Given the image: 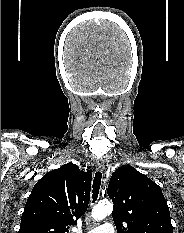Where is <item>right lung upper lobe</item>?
<instances>
[{
	"instance_id": "obj_1",
	"label": "right lung upper lobe",
	"mask_w": 184,
	"mask_h": 233,
	"mask_svg": "<svg viewBox=\"0 0 184 233\" xmlns=\"http://www.w3.org/2000/svg\"><path fill=\"white\" fill-rule=\"evenodd\" d=\"M91 177L73 163L45 174L27 199L18 233H67L88 207Z\"/></svg>"
}]
</instances>
